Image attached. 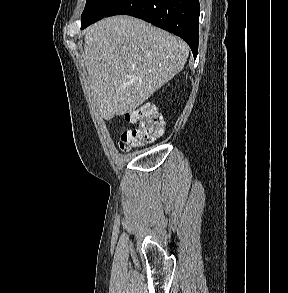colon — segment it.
Masks as SVG:
<instances>
[{
	"mask_svg": "<svg viewBox=\"0 0 288 293\" xmlns=\"http://www.w3.org/2000/svg\"><path fill=\"white\" fill-rule=\"evenodd\" d=\"M126 121L133 127L125 131L119 141L123 151L153 142L163 133V120L160 113L151 105L141 107L125 114Z\"/></svg>",
	"mask_w": 288,
	"mask_h": 293,
	"instance_id": "colon-1",
	"label": "colon"
}]
</instances>
